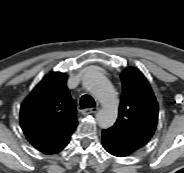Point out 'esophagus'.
<instances>
[{
  "mask_svg": "<svg viewBox=\"0 0 184 173\" xmlns=\"http://www.w3.org/2000/svg\"><path fill=\"white\" fill-rule=\"evenodd\" d=\"M98 107H93V108H85L81 111V113L83 115H88V114H92V113H96L98 111Z\"/></svg>",
  "mask_w": 184,
  "mask_h": 173,
  "instance_id": "obj_1",
  "label": "esophagus"
}]
</instances>
